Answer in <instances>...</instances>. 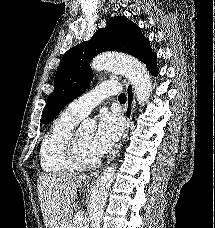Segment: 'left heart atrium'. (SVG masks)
Returning <instances> with one entry per match:
<instances>
[{"label":"left heart atrium","instance_id":"obj_1","mask_svg":"<svg viewBox=\"0 0 215 228\" xmlns=\"http://www.w3.org/2000/svg\"><path fill=\"white\" fill-rule=\"evenodd\" d=\"M122 122L118 115L102 112L99 115L97 131L93 136L92 146L98 157L107 153L120 139Z\"/></svg>","mask_w":215,"mask_h":228}]
</instances>
